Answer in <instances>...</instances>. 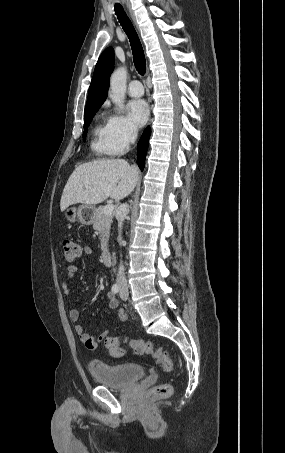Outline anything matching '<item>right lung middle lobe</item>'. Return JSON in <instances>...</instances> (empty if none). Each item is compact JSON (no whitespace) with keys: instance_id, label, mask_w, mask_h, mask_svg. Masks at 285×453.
Segmentation results:
<instances>
[{"instance_id":"obj_1","label":"right lung middle lobe","mask_w":285,"mask_h":453,"mask_svg":"<svg viewBox=\"0 0 285 453\" xmlns=\"http://www.w3.org/2000/svg\"><path fill=\"white\" fill-rule=\"evenodd\" d=\"M95 112H97V111H91V112L84 113V128H85V131H84V134H83V139H85V134L87 132V127L89 126L92 118L94 117Z\"/></svg>"}]
</instances>
